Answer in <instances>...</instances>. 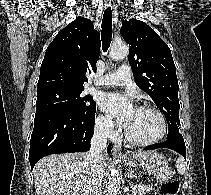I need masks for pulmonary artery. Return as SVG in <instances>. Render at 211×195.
Returning a JSON list of instances; mask_svg holds the SVG:
<instances>
[{
	"label": "pulmonary artery",
	"mask_w": 211,
	"mask_h": 195,
	"mask_svg": "<svg viewBox=\"0 0 211 195\" xmlns=\"http://www.w3.org/2000/svg\"><path fill=\"white\" fill-rule=\"evenodd\" d=\"M131 82V72L127 65L120 66L116 71L105 74L95 81L97 86H125Z\"/></svg>",
	"instance_id": "obj_1"
}]
</instances>
